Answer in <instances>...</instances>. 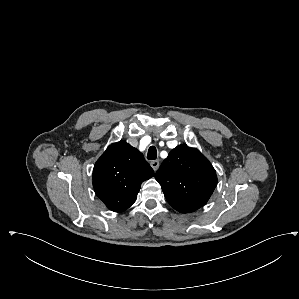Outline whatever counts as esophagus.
<instances>
[{
    "label": "esophagus",
    "mask_w": 299,
    "mask_h": 299,
    "mask_svg": "<svg viewBox=\"0 0 299 299\" xmlns=\"http://www.w3.org/2000/svg\"><path fill=\"white\" fill-rule=\"evenodd\" d=\"M150 165L154 171H157V169L159 168L160 162H159V160H153V161H151Z\"/></svg>",
    "instance_id": "1"
}]
</instances>
